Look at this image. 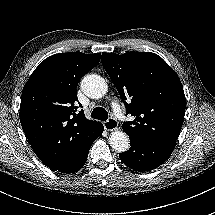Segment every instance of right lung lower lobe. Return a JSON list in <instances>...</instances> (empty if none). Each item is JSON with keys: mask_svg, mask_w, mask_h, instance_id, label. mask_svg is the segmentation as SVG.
Instances as JSON below:
<instances>
[{"mask_svg": "<svg viewBox=\"0 0 215 215\" xmlns=\"http://www.w3.org/2000/svg\"><path fill=\"white\" fill-rule=\"evenodd\" d=\"M103 130V125L100 122H97V124L88 129L85 135L78 140V146L73 152L76 156L68 158L65 163L47 166L54 171H59L65 174L77 172L85 164L92 143L102 134Z\"/></svg>", "mask_w": 215, "mask_h": 215, "instance_id": "1", "label": "right lung lower lobe"}]
</instances>
